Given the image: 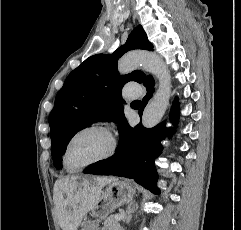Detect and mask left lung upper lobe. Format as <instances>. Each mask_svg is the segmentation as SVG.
<instances>
[{
	"label": "left lung upper lobe",
	"instance_id": "left-lung-upper-lobe-1",
	"mask_svg": "<svg viewBox=\"0 0 241 230\" xmlns=\"http://www.w3.org/2000/svg\"><path fill=\"white\" fill-rule=\"evenodd\" d=\"M133 49L153 50L140 25L112 55L89 57L65 80L49 115L51 152L57 169L62 168V153L79 130L97 121L114 120L120 124L125 118L122 87L129 81L144 83L147 79L141 71L128 75L117 72L118 59Z\"/></svg>",
	"mask_w": 241,
	"mask_h": 230
}]
</instances>
